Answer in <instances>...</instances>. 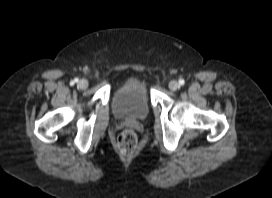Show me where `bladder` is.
Segmentation results:
<instances>
[{
	"mask_svg": "<svg viewBox=\"0 0 272 198\" xmlns=\"http://www.w3.org/2000/svg\"><path fill=\"white\" fill-rule=\"evenodd\" d=\"M111 109L119 120L143 121L150 112L149 91L143 84H128L112 96Z\"/></svg>",
	"mask_w": 272,
	"mask_h": 198,
	"instance_id": "1",
	"label": "bladder"
}]
</instances>
